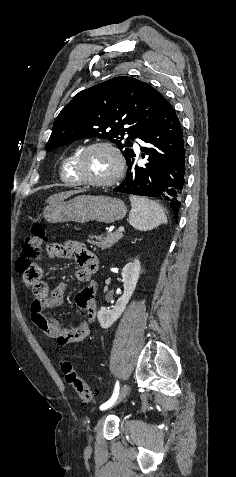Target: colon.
Returning a JSON list of instances; mask_svg holds the SVG:
<instances>
[{"label": "colon", "mask_w": 236, "mask_h": 477, "mask_svg": "<svg viewBox=\"0 0 236 477\" xmlns=\"http://www.w3.org/2000/svg\"><path fill=\"white\" fill-rule=\"evenodd\" d=\"M47 241L45 227L36 223L32 226L31 236L21 245L16 268L22 274L24 281L33 294L41 289L42 271L39 265L41 258V245ZM66 382L72 386L79 399L84 403L94 401V393L84 379L78 374L69 360H64L61 365Z\"/></svg>", "instance_id": "colon-1"}]
</instances>
